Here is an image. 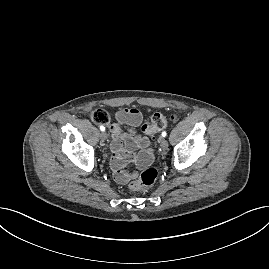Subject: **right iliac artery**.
<instances>
[{
  "label": "right iliac artery",
  "instance_id": "1",
  "mask_svg": "<svg viewBox=\"0 0 269 269\" xmlns=\"http://www.w3.org/2000/svg\"><path fill=\"white\" fill-rule=\"evenodd\" d=\"M101 131H105V127L103 125L100 126Z\"/></svg>",
  "mask_w": 269,
  "mask_h": 269
}]
</instances>
